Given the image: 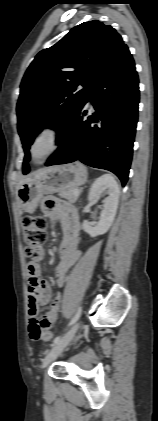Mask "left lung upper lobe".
<instances>
[{
    "instance_id": "left-lung-upper-lobe-1",
    "label": "left lung upper lobe",
    "mask_w": 158,
    "mask_h": 421,
    "mask_svg": "<svg viewBox=\"0 0 158 421\" xmlns=\"http://www.w3.org/2000/svg\"><path fill=\"white\" fill-rule=\"evenodd\" d=\"M123 45L114 28L93 20L74 27L37 54L22 79L17 103L24 174L29 172L28 150L37 134L44 127H53L60 137L89 87Z\"/></svg>"
}]
</instances>
